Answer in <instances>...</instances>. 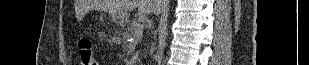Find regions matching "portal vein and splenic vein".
<instances>
[{
	"mask_svg": "<svg viewBox=\"0 0 309 65\" xmlns=\"http://www.w3.org/2000/svg\"><path fill=\"white\" fill-rule=\"evenodd\" d=\"M143 28H144V25H143V24L139 25V30H141V29H143Z\"/></svg>",
	"mask_w": 309,
	"mask_h": 65,
	"instance_id": "portal-vein-and-splenic-vein-1",
	"label": "portal vein and splenic vein"
}]
</instances>
